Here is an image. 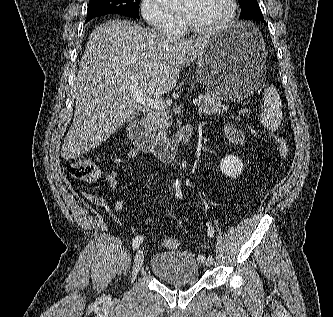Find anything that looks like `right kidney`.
I'll use <instances>...</instances> for the list:
<instances>
[{
  "mask_svg": "<svg viewBox=\"0 0 333 317\" xmlns=\"http://www.w3.org/2000/svg\"><path fill=\"white\" fill-rule=\"evenodd\" d=\"M136 154H137L136 150H133V151H130V153L128 155H129V157H130V155H132V157H135Z\"/></svg>",
  "mask_w": 333,
  "mask_h": 317,
  "instance_id": "ca27d5eb",
  "label": "right kidney"
}]
</instances>
